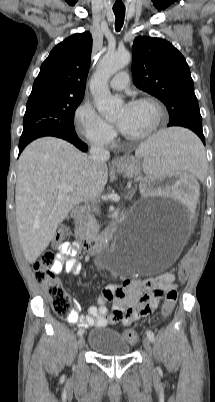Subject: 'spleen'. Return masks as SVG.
Returning <instances> with one entry per match:
<instances>
[{
    "label": "spleen",
    "mask_w": 215,
    "mask_h": 402,
    "mask_svg": "<svg viewBox=\"0 0 215 402\" xmlns=\"http://www.w3.org/2000/svg\"><path fill=\"white\" fill-rule=\"evenodd\" d=\"M137 153L144 156L142 167L148 177L182 173L197 182L205 164L203 143L192 128H166L142 143Z\"/></svg>",
    "instance_id": "spleen-1"
}]
</instances>
